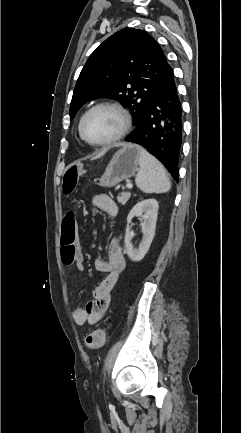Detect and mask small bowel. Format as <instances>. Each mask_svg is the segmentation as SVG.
<instances>
[{
  "mask_svg": "<svg viewBox=\"0 0 241 433\" xmlns=\"http://www.w3.org/2000/svg\"><path fill=\"white\" fill-rule=\"evenodd\" d=\"M93 206L110 216L117 214V205L113 199L106 194H96L92 200ZM72 212V211H68ZM77 223V221H76ZM62 226V234H63ZM78 229V225L77 228ZM83 253L80 249L76 252L74 264L79 270L83 269ZM94 267L98 272L106 273L107 276L92 291V299L83 306H78L73 311V319L79 326L84 324L93 325L101 320L107 313L112 291L117 284L121 272L125 268V259L122 248L117 239H112L108 246L107 259H96Z\"/></svg>",
  "mask_w": 241,
  "mask_h": 433,
  "instance_id": "c3829d8e",
  "label": "small bowel"
}]
</instances>
